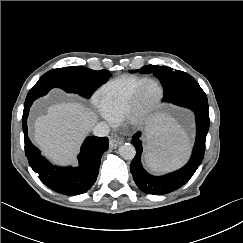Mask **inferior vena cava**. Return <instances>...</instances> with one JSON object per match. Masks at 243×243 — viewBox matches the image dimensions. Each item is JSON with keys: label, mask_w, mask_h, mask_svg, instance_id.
Segmentation results:
<instances>
[{"label": "inferior vena cava", "mask_w": 243, "mask_h": 243, "mask_svg": "<svg viewBox=\"0 0 243 243\" xmlns=\"http://www.w3.org/2000/svg\"><path fill=\"white\" fill-rule=\"evenodd\" d=\"M93 134L95 136L104 137L110 132V128L107 123L99 122L92 128Z\"/></svg>", "instance_id": "inferior-vena-cava-1"}]
</instances>
